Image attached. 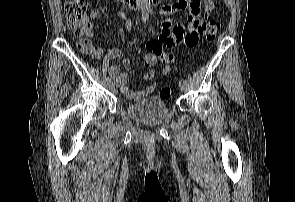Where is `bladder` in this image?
Instances as JSON below:
<instances>
[{"mask_svg": "<svg viewBox=\"0 0 295 202\" xmlns=\"http://www.w3.org/2000/svg\"><path fill=\"white\" fill-rule=\"evenodd\" d=\"M126 113L133 121L153 125L161 123L166 119L169 107L163 98L152 96L130 104L126 109Z\"/></svg>", "mask_w": 295, "mask_h": 202, "instance_id": "bladder-1", "label": "bladder"}]
</instances>
